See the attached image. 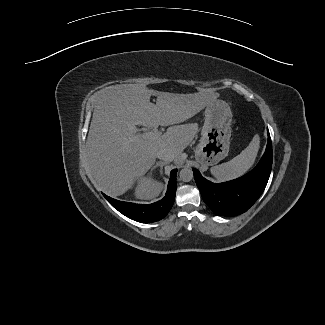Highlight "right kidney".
<instances>
[{
  "label": "right kidney",
  "instance_id": "obj_1",
  "mask_svg": "<svg viewBox=\"0 0 325 325\" xmlns=\"http://www.w3.org/2000/svg\"><path fill=\"white\" fill-rule=\"evenodd\" d=\"M161 187V183L144 177L140 179L135 195L140 199H151L160 193Z\"/></svg>",
  "mask_w": 325,
  "mask_h": 325
}]
</instances>
